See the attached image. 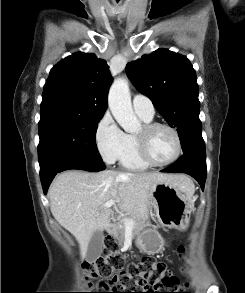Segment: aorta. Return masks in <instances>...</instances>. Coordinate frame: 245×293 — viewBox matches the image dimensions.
Wrapping results in <instances>:
<instances>
[{
	"label": "aorta",
	"instance_id": "obj_1",
	"mask_svg": "<svg viewBox=\"0 0 245 293\" xmlns=\"http://www.w3.org/2000/svg\"><path fill=\"white\" fill-rule=\"evenodd\" d=\"M108 105L118 124L128 133L136 132L140 122L135 116L131 104L128 82L125 79H116L110 87Z\"/></svg>",
	"mask_w": 245,
	"mask_h": 293
}]
</instances>
